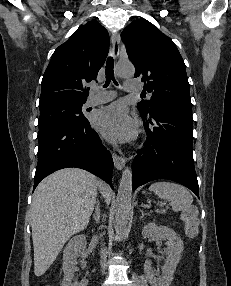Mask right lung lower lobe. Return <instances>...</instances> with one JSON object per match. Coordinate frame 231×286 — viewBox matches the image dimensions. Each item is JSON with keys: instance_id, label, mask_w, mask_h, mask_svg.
<instances>
[{"instance_id": "98d812e1", "label": "right lung lower lobe", "mask_w": 231, "mask_h": 286, "mask_svg": "<svg viewBox=\"0 0 231 286\" xmlns=\"http://www.w3.org/2000/svg\"><path fill=\"white\" fill-rule=\"evenodd\" d=\"M38 140L34 188L49 174L66 167L88 170L113 188L112 156L87 119L63 121L40 129Z\"/></svg>"}]
</instances>
